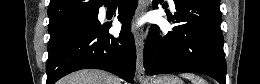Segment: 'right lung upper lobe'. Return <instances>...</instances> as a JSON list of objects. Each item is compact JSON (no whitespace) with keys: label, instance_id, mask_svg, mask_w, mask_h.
<instances>
[{"label":"right lung upper lobe","instance_id":"1","mask_svg":"<svg viewBox=\"0 0 260 84\" xmlns=\"http://www.w3.org/2000/svg\"><path fill=\"white\" fill-rule=\"evenodd\" d=\"M109 0H50L49 28L57 27L83 15L98 12Z\"/></svg>","mask_w":260,"mask_h":84}]
</instances>
